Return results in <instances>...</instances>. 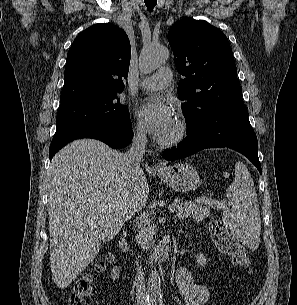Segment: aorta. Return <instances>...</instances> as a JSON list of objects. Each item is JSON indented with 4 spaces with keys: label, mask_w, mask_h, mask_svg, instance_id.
Wrapping results in <instances>:
<instances>
[{
    "label": "aorta",
    "mask_w": 297,
    "mask_h": 305,
    "mask_svg": "<svg viewBox=\"0 0 297 305\" xmlns=\"http://www.w3.org/2000/svg\"><path fill=\"white\" fill-rule=\"evenodd\" d=\"M168 57L169 50L165 46L146 47L140 54V69L145 73L151 72L162 65ZM148 294L154 298L161 296V280L159 271L156 268L152 269L149 275Z\"/></svg>",
    "instance_id": "obj_1"
}]
</instances>
